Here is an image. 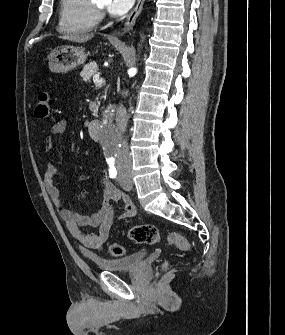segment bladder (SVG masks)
<instances>
[{
	"label": "bladder",
	"mask_w": 285,
	"mask_h": 335,
	"mask_svg": "<svg viewBox=\"0 0 285 335\" xmlns=\"http://www.w3.org/2000/svg\"><path fill=\"white\" fill-rule=\"evenodd\" d=\"M147 253L138 250L124 257L92 258V265H98L105 272L131 273L145 263Z\"/></svg>",
	"instance_id": "31cf9c89"
}]
</instances>
